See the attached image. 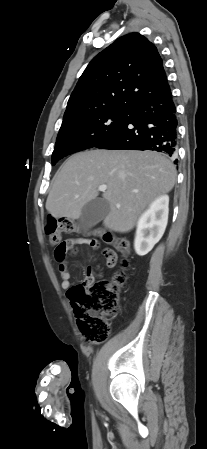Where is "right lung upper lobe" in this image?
<instances>
[{"instance_id":"obj_1","label":"right lung upper lobe","mask_w":207,"mask_h":449,"mask_svg":"<svg viewBox=\"0 0 207 449\" xmlns=\"http://www.w3.org/2000/svg\"><path fill=\"white\" fill-rule=\"evenodd\" d=\"M170 91L154 44L138 33L118 38L88 64L63 120L108 108H135Z\"/></svg>"}]
</instances>
